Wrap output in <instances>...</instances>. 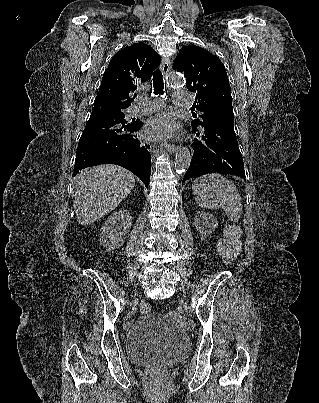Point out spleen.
Instances as JSON below:
<instances>
[{
    "label": "spleen",
    "instance_id": "3e777b00",
    "mask_svg": "<svg viewBox=\"0 0 319 403\" xmlns=\"http://www.w3.org/2000/svg\"><path fill=\"white\" fill-rule=\"evenodd\" d=\"M192 191L200 207L221 208L230 221H239L242 214L241 196L234 183L223 175L215 173L196 178Z\"/></svg>",
    "mask_w": 319,
    "mask_h": 403
}]
</instances>
